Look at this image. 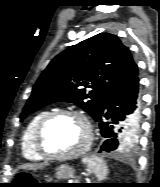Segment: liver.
Segmentation results:
<instances>
[{
  "mask_svg": "<svg viewBox=\"0 0 160 187\" xmlns=\"http://www.w3.org/2000/svg\"><path fill=\"white\" fill-rule=\"evenodd\" d=\"M24 168H33V166H31V165L30 166H24Z\"/></svg>",
  "mask_w": 160,
  "mask_h": 187,
  "instance_id": "obj_1",
  "label": "liver"
}]
</instances>
